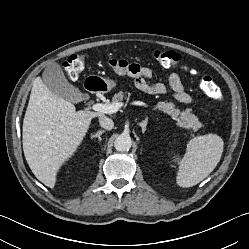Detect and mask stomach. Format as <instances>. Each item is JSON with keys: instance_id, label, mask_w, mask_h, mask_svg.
<instances>
[{"instance_id": "0dacf381", "label": "stomach", "mask_w": 249, "mask_h": 249, "mask_svg": "<svg viewBox=\"0 0 249 249\" xmlns=\"http://www.w3.org/2000/svg\"><path fill=\"white\" fill-rule=\"evenodd\" d=\"M103 92H109L116 87V82L109 78L98 77Z\"/></svg>"}]
</instances>
